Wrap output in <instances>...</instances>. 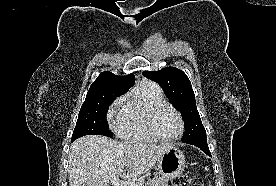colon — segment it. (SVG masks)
<instances>
[{
    "label": "colon",
    "mask_w": 276,
    "mask_h": 186,
    "mask_svg": "<svg viewBox=\"0 0 276 186\" xmlns=\"http://www.w3.org/2000/svg\"><path fill=\"white\" fill-rule=\"evenodd\" d=\"M177 186H204V182L199 176L187 173L178 180Z\"/></svg>",
    "instance_id": "obj_1"
}]
</instances>
